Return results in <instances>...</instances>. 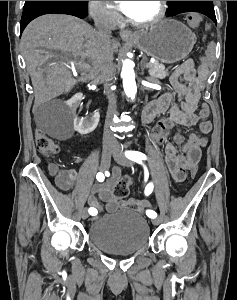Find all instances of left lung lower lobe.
Masks as SVG:
<instances>
[{
  "label": "left lung lower lobe",
  "mask_w": 237,
  "mask_h": 300,
  "mask_svg": "<svg viewBox=\"0 0 237 300\" xmlns=\"http://www.w3.org/2000/svg\"><path fill=\"white\" fill-rule=\"evenodd\" d=\"M187 12H199L201 14H204L217 25L214 8H210V7L193 8V9H189V11Z\"/></svg>",
  "instance_id": "1"
}]
</instances>
